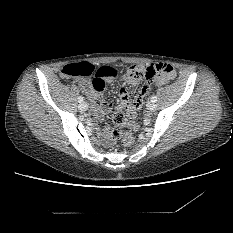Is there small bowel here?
<instances>
[{
  "mask_svg": "<svg viewBox=\"0 0 233 233\" xmlns=\"http://www.w3.org/2000/svg\"><path fill=\"white\" fill-rule=\"evenodd\" d=\"M111 72L105 74L103 78L101 79V82L99 83H93L95 87V91L92 92L90 90V81L87 78H77L76 81L81 87V89L91 98H94L97 100V104L95 106V112L98 113L99 115H106L112 112V110L115 108V106L110 103L109 101L106 100L104 96V89L106 84L112 80V78L116 75L117 69L115 67H110ZM169 77L165 75H161L156 79L155 84L157 86H163L167 83ZM122 82L123 84L126 85H131L134 86L136 85L139 80L132 78L127 75H123L122 77ZM150 85L149 84H144L138 95L136 96L135 100L131 103L128 100V90L126 87H121L119 89V97H120V103L116 107H123L127 105H132L133 108L138 110L143 102V99L147 92L149 91ZM100 136L102 141L108 142L109 141V135L105 134L103 132H100Z\"/></svg>",
  "mask_w": 233,
  "mask_h": 233,
  "instance_id": "c3829d8e",
  "label": "small bowel"
}]
</instances>
